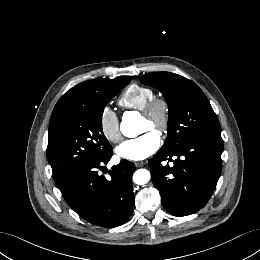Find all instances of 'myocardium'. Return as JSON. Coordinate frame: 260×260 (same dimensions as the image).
Masks as SVG:
<instances>
[{"instance_id": "myocardium-1", "label": "myocardium", "mask_w": 260, "mask_h": 260, "mask_svg": "<svg viewBox=\"0 0 260 260\" xmlns=\"http://www.w3.org/2000/svg\"><path fill=\"white\" fill-rule=\"evenodd\" d=\"M142 115L150 122V127L165 134L170 125V105L164 97L154 96L143 107Z\"/></svg>"}]
</instances>
